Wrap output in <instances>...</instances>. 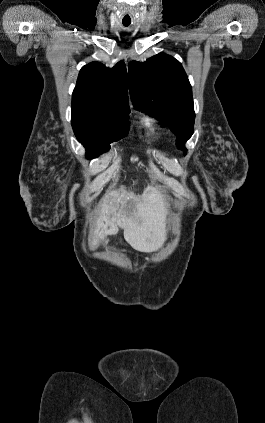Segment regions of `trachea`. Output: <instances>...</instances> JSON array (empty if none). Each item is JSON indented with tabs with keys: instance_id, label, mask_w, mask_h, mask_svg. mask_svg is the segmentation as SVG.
Listing matches in <instances>:
<instances>
[{
	"instance_id": "1",
	"label": "trachea",
	"mask_w": 265,
	"mask_h": 423,
	"mask_svg": "<svg viewBox=\"0 0 265 423\" xmlns=\"http://www.w3.org/2000/svg\"><path fill=\"white\" fill-rule=\"evenodd\" d=\"M123 23V25L125 26V27H127V26H129L130 25V22H122Z\"/></svg>"
}]
</instances>
